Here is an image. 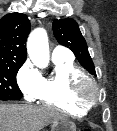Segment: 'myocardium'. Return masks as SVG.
Listing matches in <instances>:
<instances>
[{
	"label": "myocardium",
	"mask_w": 117,
	"mask_h": 131,
	"mask_svg": "<svg viewBox=\"0 0 117 131\" xmlns=\"http://www.w3.org/2000/svg\"><path fill=\"white\" fill-rule=\"evenodd\" d=\"M73 93L80 100L89 103L91 106L96 105L101 98V91L97 82L88 75H82L77 78L72 86Z\"/></svg>",
	"instance_id": "myocardium-1"
}]
</instances>
